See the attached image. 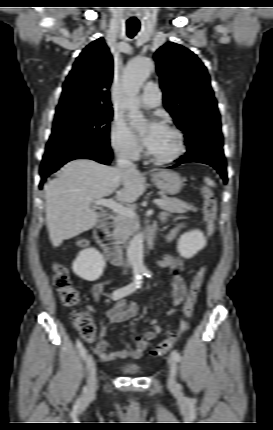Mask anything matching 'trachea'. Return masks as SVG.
<instances>
[{
	"label": "trachea",
	"instance_id": "trachea-1",
	"mask_svg": "<svg viewBox=\"0 0 273 430\" xmlns=\"http://www.w3.org/2000/svg\"><path fill=\"white\" fill-rule=\"evenodd\" d=\"M127 35L130 38H133L140 29L139 23H127Z\"/></svg>",
	"mask_w": 273,
	"mask_h": 430
}]
</instances>
